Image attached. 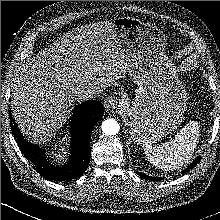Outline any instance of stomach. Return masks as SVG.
Listing matches in <instances>:
<instances>
[{
  "label": "stomach",
  "mask_w": 220,
  "mask_h": 220,
  "mask_svg": "<svg viewBox=\"0 0 220 220\" xmlns=\"http://www.w3.org/2000/svg\"><path fill=\"white\" fill-rule=\"evenodd\" d=\"M113 25L127 72L137 84L135 98L124 104L128 132L137 144L154 143L182 122L185 87L163 53L165 37L159 28L131 17H118Z\"/></svg>",
  "instance_id": "1"
}]
</instances>
